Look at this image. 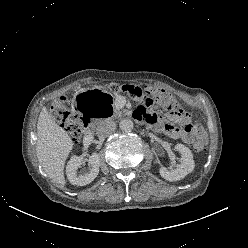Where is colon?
I'll use <instances>...</instances> for the list:
<instances>
[{
  "instance_id": "obj_1",
  "label": "colon",
  "mask_w": 248,
  "mask_h": 248,
  "mask_svg": "<svg viewBox=\"0 0 248 248\" xmlns=\"http://www.w3.org/2000/svg\"><path fill=\"white\" fill-rule=\"evenodd\" d=\"M110 88L112 91H123L145 105H155L174 116H187V113L181 109L177 100L164 90H142L140 87L134 85H112ZM50 115L69 133L73 141L77 142L81 139V120L74 114L65 98H61L52 103ZM205 147L206 143L204 140H198L194 144L196 151H203Z\"/></svg>"
}]
</instances>
